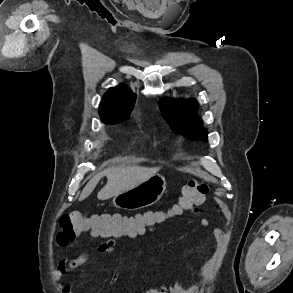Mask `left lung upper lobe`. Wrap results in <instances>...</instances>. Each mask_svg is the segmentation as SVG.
I'll use <instances>...</instances> for the list:
<instances>
[{
	"label": "left lung upper lobe",
	"mask_w": 293,
	"mask_h": 293,
	"mask_svg": "<svg viewBox=\"0 0 293 293\" xmlns=\"http://www.w3.org/2000/svg\"><path fill=\"white\" fill-rule=\"evenodd\" d=\"M197 105L195 100L165 99L159 103L163 117L175 132L182 133L191 140L207 141V131L201 128V122L195 116Z\"/></svg>",
	"instance_id": "left-lung-upper-lobe-1"
}]
</instances>
